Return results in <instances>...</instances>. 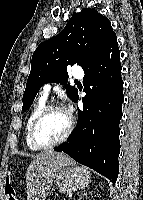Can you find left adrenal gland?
<instances>
[{
	"label": "left adrenal gland",
	"mask_w": 143,
	"mask_h": 200,
	"mask_svg": "<svg viewBox=\"0 0 143 200\" xmlns=\"http://www.w3.org/2000/svg\"><path fill=\"white\" fill-rule=\"evenodd\" d=\"M87 194L91 195V194H92V191H89V193H84L83 195H81V196L79 197L78 200H81V199H82L84 196H86Z\"/></svg>",
	"instance_id": "left-adrenal-gland-1"
}]
</instances>
